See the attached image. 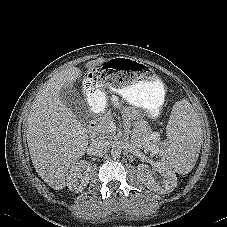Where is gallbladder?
<instances>
[{"instance_id": "1", "label": "gallbladder", "mask_w": 227, "mask_h": 227, "mask_svg": "<svg viewBox=\"0 0 227 227\" xmlns=\"http://www.w3.org/2000/svg\"><path fill=\"white\" fill-rule=\"evenodd\" d=\"M60 98L64 105L68 107L80 119L88 113V108L85 101L80 96L79 92L72 85H66L60 91Z\"/></svg>"}]
</instances>
